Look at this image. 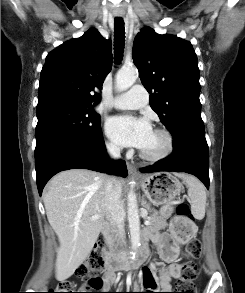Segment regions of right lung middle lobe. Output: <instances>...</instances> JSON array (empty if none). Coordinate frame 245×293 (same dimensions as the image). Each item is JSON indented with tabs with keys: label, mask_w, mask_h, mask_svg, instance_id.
<instances>
[{
	"label": "right lung middle lobe",
	"mask_w": 245,
	"mask_h": 293,
	"mask_svg": "<svg viewBox=\"0 0 245 293\" xmlns=\"http://www.w3.org/2000/svg\"><path fill=\"white\" fill-rule=\"evenodd\" d=\"M35 158L50 146L66 140L100 136L101 118L91 107L51 105L37 109Z\"/></svg>",
	"instance_id": "right-lung-middle-lobe-1"
}]
</instances>
